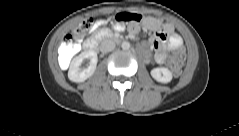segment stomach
<instances>
[{
	"label": "stomach",
	"mask_w": 239,
	"mask_h": 136,
	"mask_svg": "<svg viewBox=\"0 0 239 136\" xmlns=\"http://www.w3.org/2000/svg\"><path fill=\"white\" fill-rule=\"evenodd\" d=\"M142 21V13H132L131 11H122V13H116L117 23H141Z\"/></svg>",
	"instance_id": "stomach-1"
}]
</instances>
